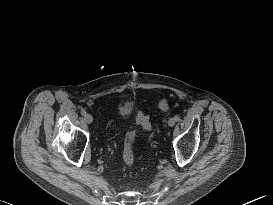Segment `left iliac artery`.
<instances>
[{
  "label": "left iliac artery",
  "instance_id": "1",
  "mask_svg": "<svg viewBox=\"0 0 273 205\" xmlns=\"http://www.w3.org/2000/svg\"><path fill=\"white\" fill-rule=\"evenodd\" d=\"M174 118H175L176 122L180 121V116L179 115H176Z\"/></svg>",
  "mask_w": 273,
  "mask_h": 205
}]
</instances>
